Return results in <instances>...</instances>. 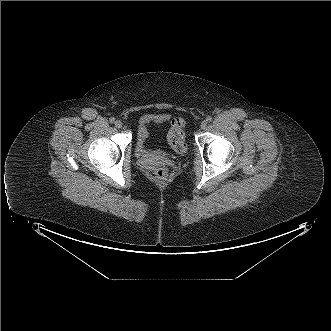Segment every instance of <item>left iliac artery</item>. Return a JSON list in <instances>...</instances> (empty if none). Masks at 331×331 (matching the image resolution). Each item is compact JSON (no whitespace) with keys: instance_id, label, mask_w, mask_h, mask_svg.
<instances>
[{"instance_id":"44dca946","label":"left iliac artery","mask_w":331,"mask_h":331,"mask_svg":"<svg viewBox=\"0 0 331 331\" xmlns=\"http://www.w3.org/2000/svg\"><path fill=\"white\" fill-rule=\"evenodd\" d=\"M206 121H207V122H211V121H212V117H211V116H208V117L206 118Z\"/></svg>"}]
</instances>
